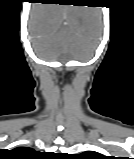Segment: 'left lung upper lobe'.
I'll return each mask as SVG.
<instances>
[{
    "instance_id": "obj_1",
    "label": "left lung upper lobe",
    "mask_w": 134,
    "mask_h": 159,
    "mask_svg": "<svg viewBox=\"0 0 134 159\" xmlns=\"http://www.w3.org/2000/svg\"><path fill=\"white\" fill-rule=\"evenodd\" d=\"M75 158L76 159H104V157L101 154L97 152H93V151L83 152L79 155H76Z\"/></svg>"
}]
</instances>
